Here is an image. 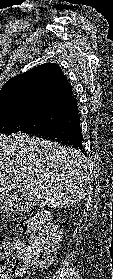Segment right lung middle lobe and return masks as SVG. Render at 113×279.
<instances>
[{
    "label": "right lung middle lobe",
    "mask_w": 113,
    "mask_h": 279,
    "mask_svg": "<svg viewBox=\"0 0 113 279\" xmlns=\"http://www.w3.org/2000/svg\"><path fill=\"white\" fill-rule=\"evenodd\" d=\"M69 113L51 108L12 109L0 111V133L33 134L39 129L67 119Z\"/></svg>",
    "instance_id": "obj_1"
}]
</instances>
